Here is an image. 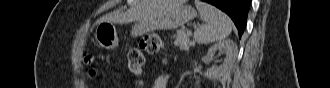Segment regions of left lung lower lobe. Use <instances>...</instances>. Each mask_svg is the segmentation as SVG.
I'll return each mask as SVG.
<instances>
[{"instance_id": "obj_1", "label": "left lung lower lobe", "mask_w": 330, "mask_h": 88, "mask_svg": "<svg viewBox=\"0 0 330 88\" xmlns=\"http://www.w3.org/2000/svg\"><path fill=\"white\" fill-rule=\"evenodd\" d=\"M227 13L233 20L241 37L247 23L251 0H203Z\"/></svg>"}]
</instances>
